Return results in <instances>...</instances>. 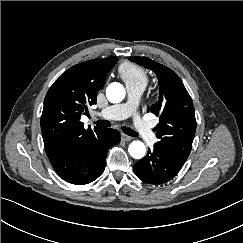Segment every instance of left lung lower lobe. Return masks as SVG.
<instances>
[{"label": "left lung lower lobe", "mask_w": 243, "mask_h": 243, "mask_svg": "<svg viewBox=\"0 0 243 243\" xmlns=\"http://www.w3.org/2000/svg\"><path fill=\"white\" fill-rule=\"evenodd\" d=\"M185 161L154 144V148L149 149L148 154L133 165V170L141 181L157 185L171 180Z\"/></svg>", "instance_id": "0a47b994"}]
</instances>
